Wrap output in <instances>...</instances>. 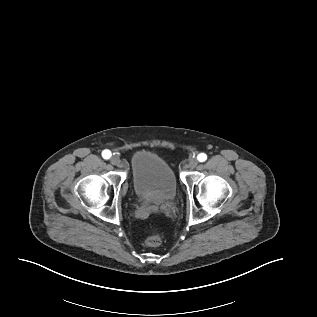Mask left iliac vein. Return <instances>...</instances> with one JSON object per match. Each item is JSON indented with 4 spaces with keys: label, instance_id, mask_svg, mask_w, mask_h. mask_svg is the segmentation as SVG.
Listing matches in <instances>:
<instances>
[{
    "label": "left iliac vein",
    "instance_id": "1",
    "mask_svg": "<svg viewBox=\"0 0 317 317\" xmlns=\"http://www.w3.org/2000/svg\"><path fill=\"white\" fill-rule=\"evenodd\" d=\"M197 164H198L197 159L196 158H191V159H189L187 166L189 168L193 169V168H195L197 166Z\"/></svg>",
    "mask_w": 317,
    "mask_h": 317
}]
</instances>
